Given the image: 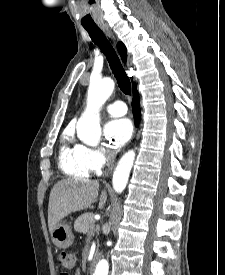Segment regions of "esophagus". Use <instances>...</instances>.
Returning a JSON list of instances; mask_svg holds the SVG:
<instances>
[{"instance_id":"obj_1","label":"esophagus","mask_w":225,"mask_h":275,"mask_svg":"<svg viewBox=\"0 0 225 275\" xmlns=\"http://www.w3.org/2000/svg\"><path fill=\"white\" fill-rule=\"evenodd\" d=\"M100 27H101V29L103 30V32H104L109 38H111V39L114 40V36H113L111 30L108 28V26L102 25V26H100Z\"/></svg>"}]
</instances>
